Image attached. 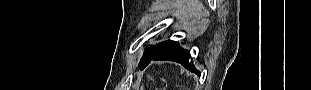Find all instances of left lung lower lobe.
Masks as SVG:
<instances>
[{
  "mask_svg": "<svg viewBox=\"0 0 311 90\" xmlns=\"http://www.w3.org/2000/svg\"><path fill=\"white\" fill-rule=\"evenodd\" d=\"M189 58H191L189 51L181 48L176 41L168 40L158 44L149 57L139 64V67L144 69L152 60H169L178 62L185 68L197 72L192 62H189Z\"/></svg>",
  "mask_w": 311,
  "mask_h": 90,
  "instance_id": "0a47b994",
  "label": "left lung lower lobe"
}]
</instances>
